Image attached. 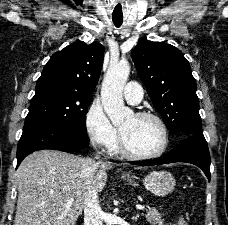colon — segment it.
I'll return each mask as SVG.
<instances>
[{
	"label": "colon",
	"instance_id": "obj_1",
	"mask_svg": "<svg viewBox=\"0 0 228 225\" xmlns=\"http://www.w3.org/2000/svg\"><path fill=\"white\" fill-rule=\"evenodd\" d=\"M176 225H187V221L184 218L180 217L177 219Z\"/></svg>",
	"mask_w": 228,
	"mask_h": 225
}]
</instances>
